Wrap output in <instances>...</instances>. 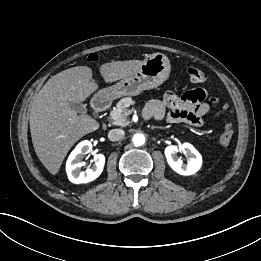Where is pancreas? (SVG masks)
<instances>
[{"instance_id": "cf45deb5", "label": "pancreas", "mask_w": 261, "mask_h": 261, "mask_svg": "<svg viewBox=\"0 0 261 261\" xmlns=\"http://www.w3.org/2000/svg\"><path fill=\"white\" fill-rule=\"evenodd\" d=\"M132 104H134V101L131 97L123 98L117 103L116 108L110 113L115 125L123 127L128 124L127 117L131 113L128 107Z\"/></svg>"}]
</instances>
